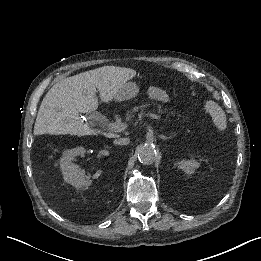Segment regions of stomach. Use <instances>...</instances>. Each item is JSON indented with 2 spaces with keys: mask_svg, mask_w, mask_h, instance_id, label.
Instances as JSON below:
<instances>
[{
  "mask_svg": "<svg viewBox=\"0 0 261 261\" xmlns=\"http://www.w3.org/2000/svg\"><path fill=\"white\" fill-rule=\"evenodd\" d=\"M139 93V87L133 82L125 83L116 93L114 99L117 101H124L135 97Z\"/></svg>",
  "mask_w": 261,
  "mask_h": 261,
  "instance_id": "1",
  "label": "stomach"
}]
</instances>
